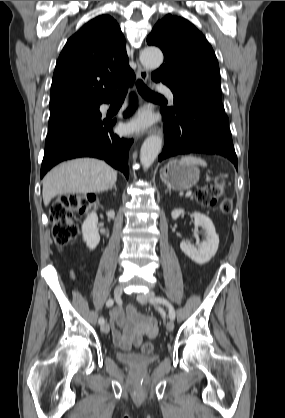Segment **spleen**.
I'll use <instances>...</instances> for the list:
<instances>
[{"label": "spleen", "instance_id": "obj_1", "mask_svg": "<svg viewBox=\"0 0 285 418\" xmlns=\"http://www.w3.org/2000/svg\"><path fill=\"white\" fill-rule=\"evenodd\" d=\"M181 162L184 164H189V165L207 166V163L205 160H203L202 158L193 156V155L182 156Z\"/></svg>", "mask_w": 285, "mask_h": 418}]
</instances>
